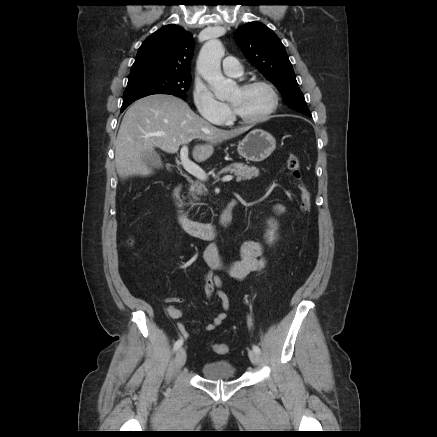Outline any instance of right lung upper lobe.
Segmentation results:
<instances>
[{
    "label": "right lung upper lobe",
    "mask_w": 437,
    "mask_h": 437,
    "mask_svg": "<svg viewBox=\"0 0 437 437\" xmlns=\"http://www.w3.org/2000/svg\"><path fill=\"white\" fill-rule=\"evenodd\" d=\"M194 48L192 34L170 24L146 38L140 46L131 72L151 70L172 75H190Z\"/></svg>",
    "instance_id": "right-lung-upper-lobe-1"
}]
</instances>
